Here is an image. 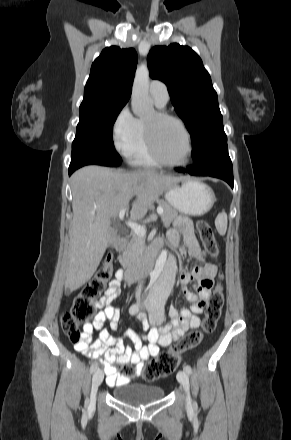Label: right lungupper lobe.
Segmentation results:
<instances>
[{"mask_svg":"<svg viewBox=\"0 0 291 440\" xmlns=\"http://www.w3.org/2000/svg\"><path fill=\"white\" fill-rule=\"evenodd\" d=\"M138 57L133 48H105L91 66L81 104L96 102L127 103Z\"/></svg>","mask_w":291,"mask_h":440,"instance_id":"cb5924a9","label":"right lung upper lobe"}]
</instances>
